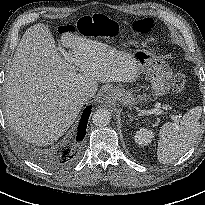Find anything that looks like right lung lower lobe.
I'll return each mask as SVG.
<instances>
[{
	"label": "right lung lower lobe",
	"mask_w": 205,
	"mask_h": 205,
	"mask_svg": "<svg viewBox=\"0 0 205 205\" xmlns=\"http://www.w3.org/2000/svg\"><path fill=\"white\" fill-rule=\"evenodd\" d=\"M90 113H91V106L87 107L82 114L80 124L78 127L77 141H81L86 134V127H87V122ZM76 153L77 151L74 153H70L69 150H66L61 157L55 158L53 160H47V161L50 165L53 166H67L72 164L75 161ZM44 161L47 162L46 160Z\"/></svg>",
	"instance_id": "1"
}]
</instances>
